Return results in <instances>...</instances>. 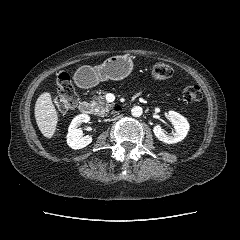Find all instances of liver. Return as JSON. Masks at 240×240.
<instances>
[{
    "label": "liver",
    "instance_id": "1",
    "mask_svg": "<svg viewBox=\"0 0 240 240\" xmlns=\"http://www.w3.org/2000/svg\"><path fill=\"white\" fill-rule=\"evenodd\" d=\"M35 119L43 136L52 138L56 131L58 114L50 93L44 92L38 97L35 104Z\"/></svg>",
    "mask_w": 240,
    "mask_h": 240
}]
</instances>
